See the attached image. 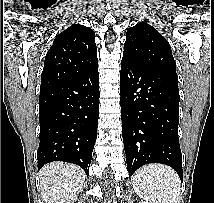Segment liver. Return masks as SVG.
<instances>
[{"label":"liver","mask_w":214,"mask_h":203,"mask_svg":"<svg viewBox=\"0 0 214 203\" xmlns=\"http://www.w3.org/2000/svg\"><path fill=\"white\" fill-rule=\"evenodd\" d=\"M39 177L46 203H74L85 182L84 171L79 166L63 162L45 165Z\"/></svg>","instance_id":"6515ba94"}]
</instances>
